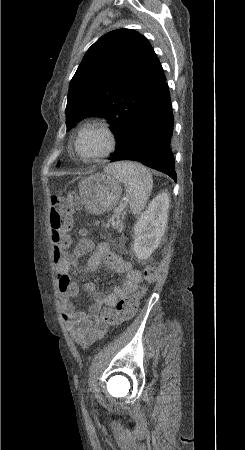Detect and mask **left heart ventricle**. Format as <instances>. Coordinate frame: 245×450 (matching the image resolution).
<instances>
[{"label": "left heart ventricle", "instance_id": "1", "mask_svg": "<svg viewBox=\"0 0 245 450\" xmlns=\"http://www.w3.org/2000/svg\"><path fill=\"white\" fill-rule=\"evenodd\" d=\"M107 144L104 134L90 133L86 135L80 143L79 151L84 155H92L101 152Z\"/></svg>", "mask_w": 245, "mask_h": 450}]
</instances>
